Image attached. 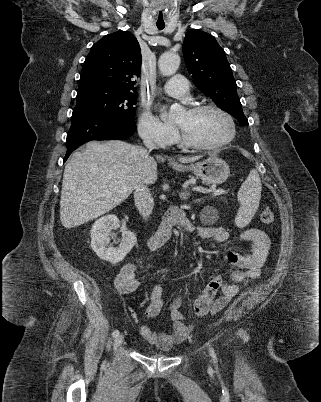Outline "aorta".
<instances>
[{
    "instance_id": "obj_1",
    "label": "aorta",
    "mask_w": 321,
    "mask_h": 402,
    "mask_svg": "<svg viewBox=\"0 0 321 402\" xmlns=\"http://www.w3.org/2000/svg\"><path fill=\"white\" fill-rule=\"evenodd\" d=\"M179 65L180 57L173 51L163 53L158 60L159 71L164 76L175 74ZM179 110H181L179 105H172L169 110V117H174Z\"/></svg>"
}]
</instances>
